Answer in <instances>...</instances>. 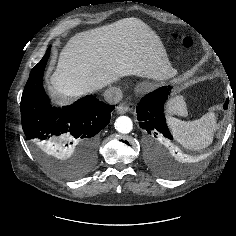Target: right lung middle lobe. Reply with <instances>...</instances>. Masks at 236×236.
I'll return each mask as SVG.
<instances>
[{
    "instance_id": "1",
    "label": "right lung middle lobe",
    "mask_w": 236,
    "mask_h": 236,
    "mask_svg": "<svg viewBox=\"0 0 236 236\" xmlns=\"http://www.w3.org/2000/svg\"><path fill=\"white\" fill-rule=\"evenodd\" d=\"M34 151L40 159L41 163L52 172H55L63 177H79L84 174L94 164L95 158L90 161L82 160V164L76 167L74 160L60 163L53 156L49 155L44 148L33 145Z\"/></svg>"
}]
</instances>
